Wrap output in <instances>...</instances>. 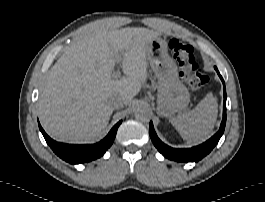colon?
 Returning a JSON list of instances; mask_svg holds the SVG:
<instances>
[{
  "label": "colon",
  "instance_id": "colon-1",
  "mask_svg": "<svg viewBox=\"0 0 265 202\" xmlns=\"http://www.w3.org/2000/svg\"><path fill=\"white\" fill-rule=\"evenodd\" d=\"M169 48L180 67L182 78L187 85L193 89L202 87L208 81V75L196 58L194 48L177 38H173L169 42Z\"/></svg>",
  "mask_w": 265,
  "mask_h": 202
}]
</instances>
